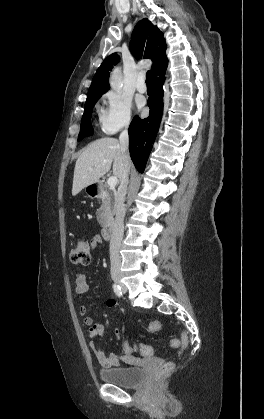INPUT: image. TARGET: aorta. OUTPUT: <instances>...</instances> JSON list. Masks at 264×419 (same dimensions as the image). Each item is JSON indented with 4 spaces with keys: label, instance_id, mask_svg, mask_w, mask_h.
Instances as JSON below:
<instances>
[{
    "label": "aorta",
    "instance_id": "1",
    "mask_svg": "<svg viewBox=\"0 0 264 419\" xmlns=\"http://www.w3.org/2000/svg\"><path fill=\"white\" fill-rule=\"evenodd\" d=\"M109 83H110L111 88L114 91L121 90L123 86V82H122V72L119 67L114 68L113 71L111 72Z\"/></svg>",
    "mask_w": 264,
    "mask_h": 419
}]
</instances>
